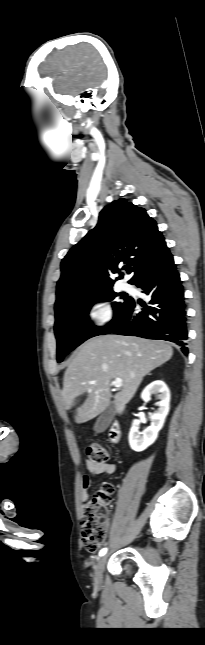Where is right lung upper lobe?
I'll use <instances>...</instances> for the list:
<instances>
[{"instance_id": "obj_1", "label": "right lung upper lobe", "mask_w": 205, "mask_h": 645, "mask_svg": "<svg viewBox=\"0 0 205 645\" xmlns=\"http://www.w3.org/2000/svg\"><path fill=\"white\" fill-rule=\"evenodd\" d=\"M171 256L156 222L143 208L126 199L114 201L100 212L97 226L63 258L55 313L82 296L112 289L109 273H119L123 263L129 265L128 272H134L132 283L143 271ZM122 277L120 273L116 280Z\"/></svg>"}]
</instances>
